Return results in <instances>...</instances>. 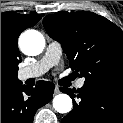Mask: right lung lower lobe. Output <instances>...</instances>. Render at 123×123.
I'll return each mask as SVG.
<instances>
[{
  "instance_id": "right-lung-lower-lobe-1",
  "label": "right lung lower lobe",
  "mask_w": 123,
  "mask_h": 123,
  "mask_svg": "<svg viewBox=\"0 0 123 123\" xmlns=\"http://www.w3.org/2000/svg\"><path fill=\"white\" fill-rule=\"evenodd\" d=\"M54 84L38 81L27 87L21 82L1 84V123H33L36 110L53 97Z\"/></svg>"
}]
</instances>
